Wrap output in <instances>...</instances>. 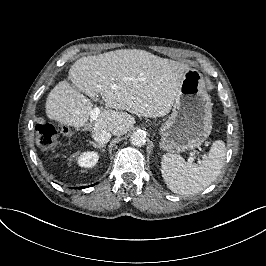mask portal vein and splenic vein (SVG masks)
<instances>
[{
  "instance_id": "1",
  "label": "portal vein and splenic vein",
  "mask_w": 266,
  "mask_h": 266,
  "mask_svg": "<svg viewBox=\"0 0 266 266\" xmlns=\"http://www.w3.org/2000/svg\"><path fill=\"white\" fill-rule=\"evenodd\" d=\"M100 108L99 107H95V108H93L92 110H91V112H90V118L92 119V120H96L97 119V117H98V115L100 114ZM193 158L192 157H190L189 159H188V161L189 162H193ZM199 163H200V161H198Z\"/></svg>"
}]
</instances>
